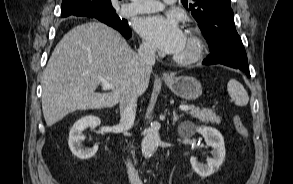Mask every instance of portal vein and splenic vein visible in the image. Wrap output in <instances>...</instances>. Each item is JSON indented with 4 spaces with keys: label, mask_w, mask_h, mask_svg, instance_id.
<instances>
[{
    "label": "portal vein and splenic vein",
    "mask_w": 293,
    "mask_h": 184,
    "mask_svg": "<svg viewBox=\"0 0 293 184\" xmlns=\"http://www.w3.org/2000/svg\"><path fill=\"white\" fill-rule=\"evenodd\" d=\"M101 83H102V88L103 89H109V90H113L114 89V85L109 83L104 77L100 76L99 77ZM179 109L182 111H188L190 109L189 106L187 105H181L179 106Z\"/></svg>",
    "instance_id": "18ae733b"
}]
</instances>
